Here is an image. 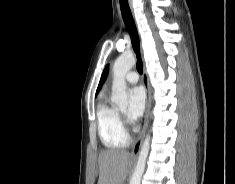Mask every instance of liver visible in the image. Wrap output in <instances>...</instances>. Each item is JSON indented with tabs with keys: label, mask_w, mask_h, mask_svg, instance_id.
<instances>
[{
	"label": "liver",
	"mask_w": 235,
	"mask_h": 184,
	"mask_svg": "<svg viewBox=\"0 0 235 184\" xmlns=\"http://www.w3.org/2000/svg\"><path fill=\"white\" fill-rule=\"evenodd\" d=\"M129 152L126 150H104L98 158L100 176L98 184H123L129 170Z\"/></svg>",
	"instance_id": "1"
}]
</instances>
